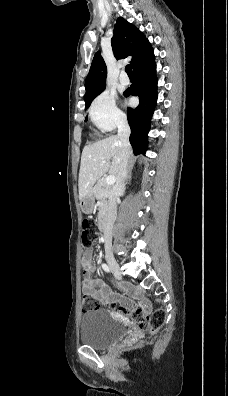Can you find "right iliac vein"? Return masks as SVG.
<instances>
[{
  "label": "right iliac vein",
  "mask_w": 228,
  "mask_h": 396,
  "mask_svg": "<svg viewBox=\"0 0 228 396\" xmlns=\"http://www.w3.org/2000/svg\"><path fill=\"white\" fill-rule=\"evenodd\" d=\"M106 260H107V263L110 266L112 272L114 273V275L117 278H121L120 266L117 263L116 259L113 256H111V255H107Z\"/></svg>",
  "instance_id": "1"
}]
</instances>
